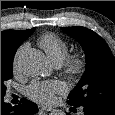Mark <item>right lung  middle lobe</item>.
<instances>
[{
	"label": "right lung middle lobe",
	"instance_id": "dd1d6c3e",
	"mask_svg": "<svg viewBox=\"0 0 115 115\" xmlns=\"http://www.w3.org/2000/svg\"><path fill=\"white\" fill-rule=\"evenodd\" d=\"M13 74V59H1V98L6 92L5 82L11 79Z\"/></svg>",
	"mask_w": 115,
	"mask_h": 115
}]
</instances>
